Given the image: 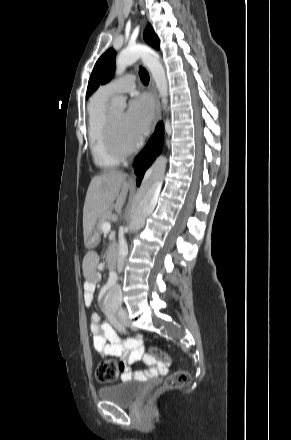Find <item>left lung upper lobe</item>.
Listing matches in <instances>:
<instances>
[{
    "label": "left lung upper lobe",
    "mask_w": 291,
    "mask_h": 440,
    "mask_svg": "<svg viewBox=\"0 0 291 440\" xmlns=\"http://www.w3.org/2000/svg\"><path fill=\"white\" fill-rule=\"evenodd\" d=\"M145 41L156 49H159V39L152 26L147 25L144 35ZM115 51L107 50L96 62L88 82L86 98L90 96L100 85L109 82L114 76Z\"/></svg>",
    "instance_id": "5c2ea615"
}]
</instances>
